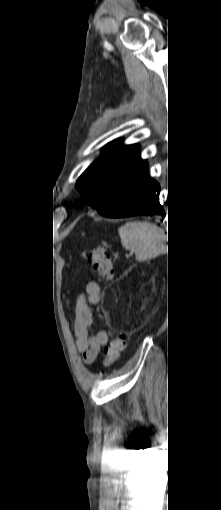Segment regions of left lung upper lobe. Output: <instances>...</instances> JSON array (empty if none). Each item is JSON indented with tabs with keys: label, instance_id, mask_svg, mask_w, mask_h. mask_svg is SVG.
<instances>
[{
	"label": "left lung upper lobe",
	"instance_id": "obj_1",
	"mask_svg": "<svg viewBox=\"0 0 221 510\" xmlns=\"http://www.w3.org/2000/svg\"><path fill=\"white\" fill-rule=\"evenodd\" d=\"M138 145H123L114 140L102 149L101 156L79 177L75 185L81 199L94 209L106 207L148 165L139 155Z\"/></svg>",
	"mask_w": 221,
	"mask_h": 510
}]
</instances>
